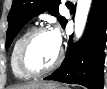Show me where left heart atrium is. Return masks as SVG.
Here are the masks:
<instances>
[{
    "label": "left heart atrium",
    "mask_w": 107,
    "mask_h": 89,
    "mask_svg": "<svg viewBox=\"0 0 107 89\" xmlns=\"http://www.w3.org/2000/svg\"><path fill=\"white\" fill-rule=\"evenodd\" d=\"M51 35H52L56 45L60 48L61 43H62V35H61V32H60V29L58 27L54 28L51 31Z\"/></svg>",
    "instance_id": "left-heart-atrium-1"
}]
</instances>
